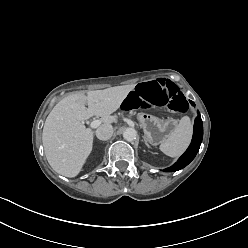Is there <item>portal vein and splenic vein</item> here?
<instances>
[{
	"label": "portal vein and splenic vein",
	"instance_id": "18ae733b",
	"mask_svg": "<svg viewBox=\"0 0 248 248\" xmlns=\"http://www.w3.org/2000/svg\"><path fill=\"white\" fill-rule=\"evenodd\" d=\"M101 123H102L101 120H94L91 122L90 127L91 128H97L98 126H100Z\"/></svg>",
	"mask_w": 248,
	"mask_h": 248
}]
</instances>
